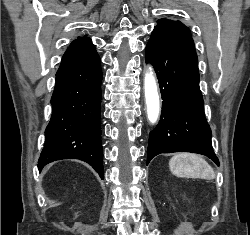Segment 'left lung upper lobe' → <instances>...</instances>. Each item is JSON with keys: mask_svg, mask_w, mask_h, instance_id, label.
Wrapping results in <instances>:
<instances>
[{"mask_svg": "<svg viewBox=\"0 0 250 235\" xmlns=\"http://www.w3.org/2000/svg\"><path fill=\"white\" fill-rule=\"evenodd\" d=\"M158 25L155 26L152 33L158 32L162 33L163 35H186L191 37V33L189 28H187L183 23L180 21H173L169 19H159L157 21Z\"/></svg>", "mask_w": 250, "mask_h": 235, "instance_id": "1", "label": "left lung upper lobe"}]
</instances>
